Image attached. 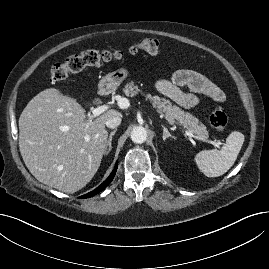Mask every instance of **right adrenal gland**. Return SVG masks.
Masks as SVG:
<instances>
[{
  "label": "right adrenal gland",
  "mask_w": 269,
  "mask_h": 269,
  "mask_svg": "<svg viewBox=\"0 0 269 269\" xmlns=\"http://www.w3.org/2000/svg\"><path fill=\"white\" fill-rule=\"evenodd\" d=\"M116 132H117V129H115L114 131H112L110 133L108 141L106 143V152H105V154H108L111 151V149H112V137Z\"/></svg>",
  "instance_id": "2a0ac1e0"
}]
</instances>
